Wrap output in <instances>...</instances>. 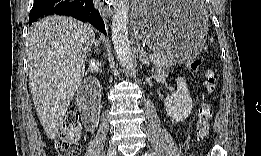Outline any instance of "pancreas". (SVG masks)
<instances>
[{
    "instance_id": "1",
    "label": "pancreas",
    "mask_w": 261,
    "mask_h": 156,
    "mask_svg": "<svg viewBox=\"0 0 261 156\" xmlns=\"http://www.w3.org/2000/svg\"><path fill=\"white\" fill-rule=\"evenodd\" d=\"M157 58L153 60V63L157 68H169L174 64V59L170 54L164 52H155Z\"/></svg>"
}]
</instances>
